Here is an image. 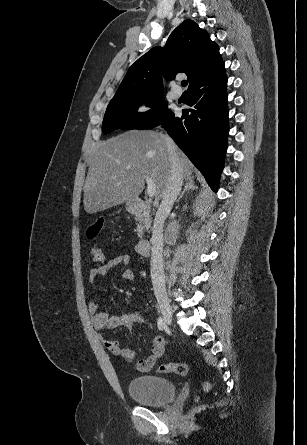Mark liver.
<instances>
[{
  "label": "liver",
  "instance_id": "1",
  "mask_svg": "<svg viewBox=\"0 0 307 445\" xmlns=\"http://www.w3.org/2000/svg\"><path fill=\"white\" fill-rule=\"evenodd\" d=\"M176 152L183 164V176L188 180L193 164L178 146ZM171 166L172 158L162 132L128 130L95 142L83 186L85 212L93 214L135 198L144 190L146 176L155 182L156 200H160L169 184Z\"/></svg>",
  "mask_w": 307,
  "mask_h": 445
}]
</instances>
